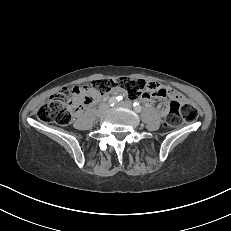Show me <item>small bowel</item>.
I'll return each mask as SVG.
<instances>
[{
	"label": "small bowel",
	"instance_id": "c3829d8e",
	"mask_svg": "<svg viewBox=\"0 0 231 231\" xmlns=\"http://www.w3.org/2000/svg\"><path fill=\"white\" fill-rule=\"evenodd\" d=\"M113 93L119 92V89H113ZM163 97L167 96L172 100L176 101H182L183 96L181 93L177 92L176 90H173L168 87L160 86L154 83H150L148 85V91H146L142 96L141 99L143 102L151 104L153 102L152 97ZM89 97V100H86V98ZM99 94L92 93L88 87H78V92L74 96V107L77 109V111L80 109L82 105H89L93 102H95L97 99H99ZM163 105L160 106V110L163 111Z\"/></svg>",
	"mask_w": 231,
	"mask_h": 231
}]
</instances>
